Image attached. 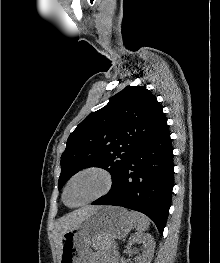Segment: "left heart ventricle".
<instances>
[{"instance_id": "obj_1", "label": "left heart ventricle", "mask_w": 220, "mask_h": 263, "mask_svg": "<svg viewBox=\"0 0 220 263\" xmlns=\"http://www.w3.org/2000/svg\"><path fill=\"white\" fill-rule=\"evenodd\" d=\"M103 184V178L98 174L87 173L81 175L70 185L66 194V202L68 204L79 203L98 193Z\"/></svg>"}]
</instances>
